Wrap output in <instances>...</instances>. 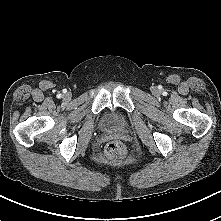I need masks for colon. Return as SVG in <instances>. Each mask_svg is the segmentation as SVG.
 Here are the masks:
<instances>
[{
  "label": "colon",
  "mask_w": 221,
  "mask_h": 221,
  "mask_svg": "<svg viewBox=\"0 0 221 221\" xmlns=\"http://www.w3.org/2000/svg\"><path fill=\"white\" fill-rule=\"evenodd\" d=\"M106 153L109 157L114 159H124L127 154V148L125 144L121 141H112L106 147Z\"/></svg>",
  "instance_id": "5ec220e1"
}]
</instances>
